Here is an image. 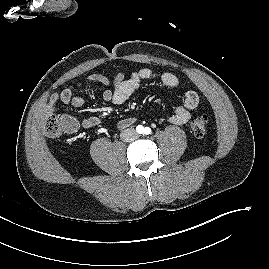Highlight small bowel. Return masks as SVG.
Segmentation results:
<instances>
[{
	"instance_id": "small-bowel-1",
	"label": "small bowel",
	"mask_w": 269,
	"mask_h": 269,
	"mask_svg": "<svg viewBox=\"0 0 269 269\" xmlns=\"http://www.w3.org/2000/svg\"><path fill=\"white\" fill-rule=\"evenodd\" d=\"M87 79L90 82L103 85L105 87L102 94L103 100L106 102H112L115 105L125 103L144 82L157 80L169 88H175L179 84L178 77L173 73H156L150 68L138 69L132 72L129 77H126L124 73H117L112 82L100 73H92L87 77ZM81 87H83V83H77L64 88L61 92L53 93L45 107L46 112H53L59 101L65 105H72L74 107L82 106L84 103L83 98L75 94V90ZM198 105L199 95L195 91H188L184 96L183 103L174 109L169 121L176 125L185 124L190 119L191 112L196 109ZM70 119L75 124V129L69 133L72 134L78 128V122L73 117H70ZM135 122V117H126L121 119L117 126L119 129H125L133 125ZM99 124L100 119L95 116L85 118L81 123L82 127L85 129H91Z\"/></svg>"
}]
</instances>
